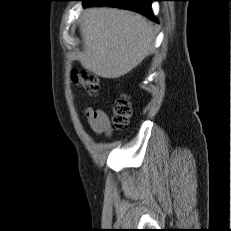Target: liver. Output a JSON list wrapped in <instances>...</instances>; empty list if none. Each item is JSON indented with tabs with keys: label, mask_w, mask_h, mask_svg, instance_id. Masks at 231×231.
I'll return each instance as SVG.
<instances>
[{
	"label": "liver",
	"mask_w": 231,
	"mask_h": 231,
	"mask_svg": "<svg viewBox=\"0 0 231 231\" xmlns=\"http://www.w3.org/2000/svg\"><path fill=\"white\" fill-rule=\"evenodd\" d=\"M84 50L82 66L103 78L115 79L132 71L153 46V27L138 13L89 8L80 22Z\"/></svg>",
	"instance_id": "liver-1"
}]
</instances>
